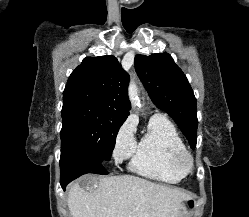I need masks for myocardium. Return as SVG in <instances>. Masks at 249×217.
Masks as SVG:
<instances>
[{
    "label": "myocardium",
    "mask_w": 249,
    "mask_h": 217,
    "mask_svg": "<svg viewBox=\"0 0 249 217\" xmlns=\"http://www.w3.org/2000/svg\"><path fill=\"white\" fill-rule=\"evenodd\" d=\"M175 169L183 176L190 174L194 169V158L186 149L178 151L173 156Z\"/></svg>",
    "instance_id": "obj_1"
}]
</instances>
